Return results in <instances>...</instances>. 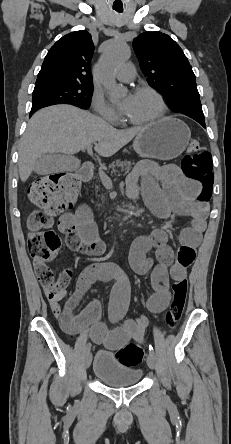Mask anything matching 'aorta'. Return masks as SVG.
Returning a JSON list of instances; mask_svg holds the SVG:
<instances>
[{
    "mask_svg": "<svg viewBox=\"0 0 231 444\" xmlns=\"http://www.w3.org/2000/svg\"><path fill=\"white\" fill-rule=\"evenodd\" d=\"M130 57V48L125 42H115L99 60V71L104 87L112 99H119L126 89L118 85L112 76L113 71Z\"/></svg>",
    "mask_w": 231,
    "mask_h": 444,
    "instance_id": "762f6f07",
    "label": "aorta"
}]
</instances>
